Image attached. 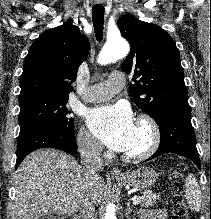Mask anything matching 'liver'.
<instances>
[{
    "mask_svg": "<svg viewBox=\"0 0 211 219\" xmlns=\"http://www.w3.org/2000/svg\"><path fill=\"white\" fill-rule=\"evenodd\" d=\"M104 180L86 177L70 155L55 149L29 154L15 172L11 219H38L49 214L72 215L84 202L102 201Z\"/></svg>",
    "mask_w": 211,
    "mask_h": 219,
    "instance_id": "1",
    "label": "liver"
}]
</instances>
